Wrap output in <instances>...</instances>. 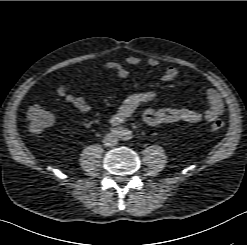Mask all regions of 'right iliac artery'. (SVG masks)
Returning <instances> with one entry per match:
<instances>
[{"label": "right iliac artery", "mask_w": 247, "mask_h": 245, "mask_svg": "<svg viewBox=\"0 0 247 245\" xmlns=\"http://www.w3.org/2000/svg\"><path fill=\"white\" fill-rule=\"evenodd\" d=\"M112 133L114 134H118L119 130L117 128H111Z\"/></svg>", "instance_id": "right-iliac-artery-1"}]
</instances>
